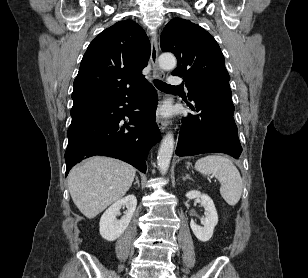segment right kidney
Masks as SVG:
<instances>
[{
    "label": "right kidney",
    "instance_id": "1",
    "mask_svg": "<svg viewBox=\"0 0 308 278\" xmlns=\"http://www.w3.org/2000/svg\"><path fill=\"white\" fill-rule=\"evenodd\" d=\"M137 206V199L134 195H128L111 205L100 219V235L107 241H114L119 238L128 227ZM121 207L127 211L120 220L116 219Z\"/></svg>",
    "mask_w": 308,
    "mask_h": 278
}]
</instances>
